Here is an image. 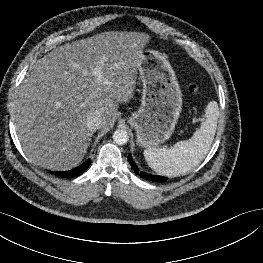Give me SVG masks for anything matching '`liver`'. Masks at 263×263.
<instances>
[{
  "label": "liver",
  "instance_id": "1",
  "mask_svg": "<svg viewBox=\"0 0 263 263\" xmlns=\"http://www.w3.org/2000/svg\"><path fill=\"white\" fill-rule=\"evenodd\" d=\"M143 32L106 31L61 45L33 64L14 101L18 139L34 165L65 171L84 158L95 130L87 117L99 112L109 130L119 103L134 97ZM102 74L97 82L94 69Z\"/></svg>",
  "mask_w": 263,
  "mask_h": 263
}]
</instances>
